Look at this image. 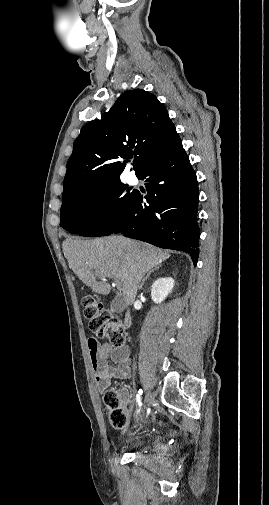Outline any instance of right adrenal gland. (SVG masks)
<instances>
[{
    "mask_svg": "<svg viewBox=\"0 0 269 505\" xmlns=\"http://www.w3.org/2000/svg\"><path fill=\"white\" fill-rule=\"evenodd\" d=\"M160 266L161 265L155 266L149 272H147L146 276L143 278V280H142V282H141V284L139 286V289L142 288V286L144 285L145 281L149 278V276L151 275V273H153L154 271L158 270Z\"/></svg>",
    "mask_w": 269,
    "mask_h": 505,
    "instance_id": "2a0ac1e0",
    "label": "right adrenal gland"
}]
</instances>
